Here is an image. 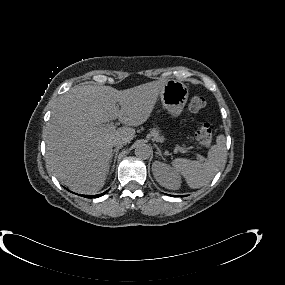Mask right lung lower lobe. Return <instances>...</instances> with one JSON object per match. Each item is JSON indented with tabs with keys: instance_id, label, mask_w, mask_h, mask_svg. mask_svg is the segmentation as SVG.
<instances>
[{
	"instance_id": "right-lung-lower-lobe-1",
	"label": "right lung lower lobe",
	"mask_w": 285,
	"mask_h": 285,
	"mask_svg": "<svg viewBox=\"0 0 285 285\" xmlns=\"http://www.w3.org/2000/svg\"><path fill=\"white\" fill-rule=\"evenodd\" d=\"M106 192L102 193V194H99V195H94V196H90V195H81L83 197H86V198H97V197H100L102 195H104Z\"/></svg>"
}]
</instances>
